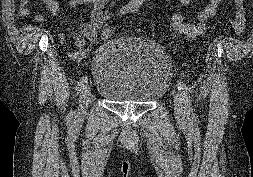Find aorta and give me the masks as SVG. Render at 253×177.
I'll return each instance as SVG.
<instances>
[{"mask_svg":"<svg viewBox=\"0 0 253 177\" xmlns=\"http://www.w3.org/2000/svg\"><path fill=\"white\" fill-rule=\"evenodd\" d=\"M133 2H135L136 4H142L144 2V0H132Z\"/></svg>","mask_w":253,"mask_h":177,"instance_id":"aorta-1","label":"aorta"}]
</instances>
